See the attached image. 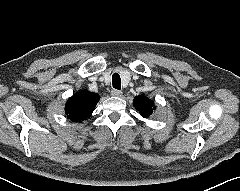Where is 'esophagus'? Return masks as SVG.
Segmentation results:
<instances>
[{"mask_svg":"<svg viewBox=\"0 0 240 191\" xmlns=\"http://www.w3.org/2000/svg\"><path fill=\"white\" fill-rule=\"evenodd\" d=\"M111 95L112 96H115V97H120L122 95V92L120 90H117V89H113L111 91Z\"/></svg>","mask_w":240,"mask_h":191,"instance_id":"obj_1","label":"esophagus"}]
</instances>
